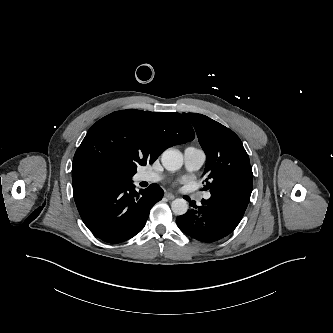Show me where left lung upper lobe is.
<instances>
[{
  "mask_svg": "<svg viewBox=\"0 0 333 333\" xmlns=\"http://www.w3.org/2000/svg\"><path fill=\"white\" fill-rule=\"evenodd\" d=\"M183 115L194 126L200 145L206 154L204 190H210L211 193L217 189L221 176L250 165L249 156L233 131L202 114L183 113Z\"/></svg>",
  "mask_w": 333,
  "mask_h": 333,
  "instance_id": "1",
  "label": "left lung upper lobe"
}]
</instances>
